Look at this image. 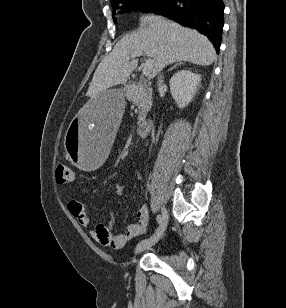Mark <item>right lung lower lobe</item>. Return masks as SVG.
Returning <instances> with one entry per match:
<instances>
[{"label": "right lung lower lobe", "mask_w": 286, "mask_h": 308, "mask_svg": "<svg viewBox=\"0 0 286 308\" xmlns=\"http://www.w3.org/2000/svg\"><path fill=\"white\" fill-rule=\"evenodd\" d=\"M222 0H167L155 13L199 30L219 52L223 29Z\"/></svg>", "instance_id": "98d812e1"}]
</instances>
